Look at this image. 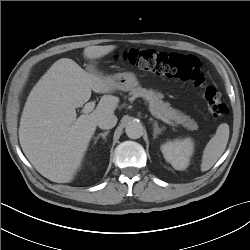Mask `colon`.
I'll return each instance as SVG.
<instances>
[{"label": "colon", "mask_w": 250, "mask_h": 250, "mask_svg": "<svg viewBox=\"0 0 250 250\" xmlns=\"http://www.w3.org/2000/svg\"><path fill=\"white\" fill-rule=\"evenodd\" d=\"M122 58L125 62L143 71L168 78L191 81L198 87L204 86L205 76L201 63L193 55L130 49L123 53ZM203 95L212 116L222 118L228 115V106L220 98L215 88L206 87Z\"/></svg>", "instance_id": "1"}]
</instances>
